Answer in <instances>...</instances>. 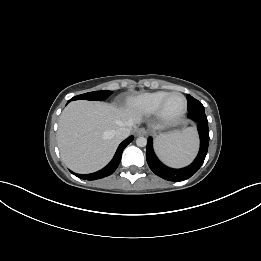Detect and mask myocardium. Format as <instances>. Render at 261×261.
<instances>
[{
	"mask_svg": "<svg viewBox=\"0 0 261 261\" xmlns=\"http://www.w3.org/2000/svg\"><path fill=\"white\" fill-rule=\"evenodd\" d=\"M173 95H180L184 100V105H183L182 110L178 114L171 116L165 112V105H166V102L168 101V99ZM187 109H188V101H187L186 96L184 94H182L181 92L174 91V92L168 93L163 98V100L161 101V103L157 109L156 114L160 121L170 124V123H175V122L179 121L180 119H182L184 117V115L186 114Z\"/></svg>",
	"mask_w": 261,
	"mask_h": 261,
	"instance_id": "obj_1",
	"label": "myocardium"
}]
</instances>
